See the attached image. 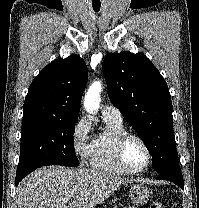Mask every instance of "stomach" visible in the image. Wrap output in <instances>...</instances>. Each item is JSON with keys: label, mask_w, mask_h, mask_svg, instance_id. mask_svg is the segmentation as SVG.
Returning a JSON list of instances; mask_svg holds the SVG:
<instances>
[{"label": "stomach", "mask_w": 199, "mask_h": 208, "mask_svg": "<svg viewBox=\"0 0 199 208\" xmlns=\"http://www.w3.org/2000/svg\"><path fill=\"white\" fill-rule=\"evenodd\" d=\"M150 192L146 186L137 184L131 186L129 190V198L134 204H142L148 201ZM130 208V207H129Z\"/></svg>", "instance_id": "0dacf381"}]
</instances>
